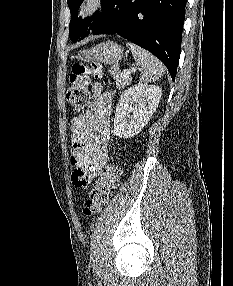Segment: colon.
<instances>
[{
  "label": "colon",
  "instance_id": "obj_1",
  "mask_svg": "<svg viewBox=\"0 0 233 286\" xmlns=\"http://www.w3.org/2000/svg\"><path fill=\"white\" fill-rule=\"evenodd\" d=\"M102 67L97 62L91 64L74 63L70 74L71 86L67 91V101L75 112L82 111L88 104L90 92L89 84L91 77L101 78ZM120 170L116 163L108 164L99 180L94 185L89 199L83 207V214L92 217L99 214L109 203L119 181Z\"/></svg>",
  "mask_w": 233,
  "mask_h": 286
}]
</instances>
